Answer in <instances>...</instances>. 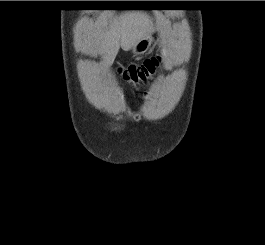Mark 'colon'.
Returning <instances> with one entry per match:
<instances>
[{
    "mask_svg": "<svg viewBox=\"0 0 265 245\" xmlns=\"http://www.w3.org/2000/svg\"><path fill=\"white\" fill-rule=\"evenodd\" d=\"M159 60V57H153L138 64L123 66L119 69V75L129 84L147 85L155 74Z\"/></svg>",
    "mask_w": 265,
    "mask_h": 245,
    "instance_id": "obj_1",
    "label": "colon"
}]
</instances>
